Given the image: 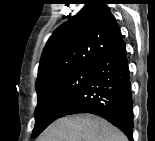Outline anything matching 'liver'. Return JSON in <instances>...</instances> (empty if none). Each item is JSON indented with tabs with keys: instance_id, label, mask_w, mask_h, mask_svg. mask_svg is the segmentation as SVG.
<instances>
[{
	"instance_id": "6515ba94",
	"label": "liver",
	"mask_w": 155,
	"mask_h": 141,
	"mask_svg": "<svg viewBox=\"0 0 155 141\" xmlns=\"http://www.w3.org/2000/svg\"><path fill=\"white\" fill-rule=\"evenodd\" d=\"M39 141H127V137L105 119L92 114L62 117L52 123Z\"/></svg>"
}]
</instances>
